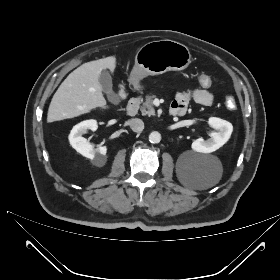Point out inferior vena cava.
<instances>
[{"label":"inferior vena cava","instance_id":"obj_1","mask_svg":"<svg viewBox=\"0 0 280 280\" xmlns=\"http://www.w3.org/2000/svg\"><path fill=\"white\" fill-rule=\"evenodd\" d=\"M129 125H130V128L134 132H141L144 129L143 121L141 119H138V118H133V119L129 120Z\"/></svg>","mask_w":280,"mask_h":280}]
</instances>
